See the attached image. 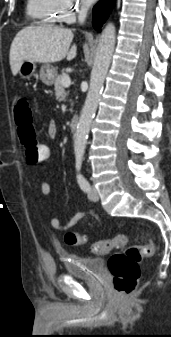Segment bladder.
<instances>
[{"label": "bladder", "mask_w": 171, "mask_h": 337, "mask_svg": "<svg viewBox=\"0 0 171 337\" xmlns=\"http://www.w3.org/2000/svg\"><path fill=\"white\" fill-rule=\"evenodd\" d=\"M61 260L67 274L92 278L100 275L104 268V260L99 257H82L74 254H63Z\"/></svg>", "instance_id": "31cf9c89"}]
</instances>
